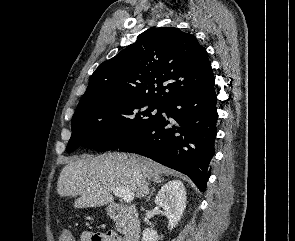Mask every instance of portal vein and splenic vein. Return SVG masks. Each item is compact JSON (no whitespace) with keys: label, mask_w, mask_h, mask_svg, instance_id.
<instances>
[{"label":"portal vein and splenic vein","mask_w":295,"mask_h":241,"mask_svg":"<svg viewBox=\"0 0 295 241\" xmlns=\"http://www.w3.org/2000/svg\"><path fill=\"white\" fill-rule=\"evenodd\" d=\"M113 193L115 196L121 197L126 203H130L134 199V193L126 188L117 187L113 190Z\"/></svg>","instance_id":"1"}]
</instances>
